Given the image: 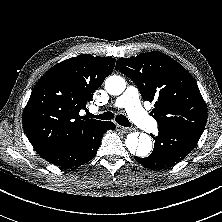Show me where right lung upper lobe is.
<instances>
[{
  "label": "right lung upper lobe",
  "mask_w": 222,
  "mask_h": 222,
  "mask_svg": "<svg viewBox=\"0 0 222 222\" xmlns=\"http://www.w3.org/2000/svg\"><path fill=\"white\" fill-rule=\"evenodd\" d=\"M114 65V58L82 54L58 63L39 79L23 111V128L37 153L75 141L101 122L79 111Z\"/></svg>",
  "instance_id": "cb5924a9"
}]
</instances>
